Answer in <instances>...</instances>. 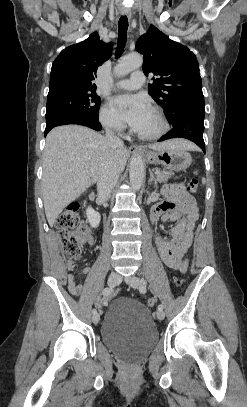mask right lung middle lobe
<instances>
[{"label": "right lung middle lobe", "instance_id": "dd1d6c3e", "mask_svg": "<svg viewBox=\"0 0 247 407\" xmlns=\"http://www.w3.org/2000/svg\"><path fill=\"white\" fill-rule=\"evenodd\" d=\"M101 99L91 89H59L47 96L46 120L63 114L98 119Z\"/></svg>", "mask_w": 247, "mask_h": 407}]
</instances>
